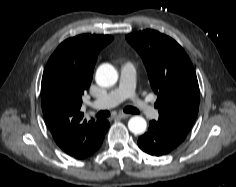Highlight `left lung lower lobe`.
I'll use <instances>...</instances> for the list:
<instances>
[{
  "label": "left lung lower lobe",
  "mask_w": 236,
  "mask_h": 187,
  "mask_svg": "<svg viewBox=\"0 0 236 187\" xmlns=\"http://www.w3.org/2000/svg\"><path fill=\"white\" fill-rule=\"evenodd\" d=\"M186 138L175 129L151 121L148 132L139 137L138 146L146 153L161 156L171 152Z\"/></svg>",
  "instance_id": "left-lung-lower-lobe-1"
}]
</instances>
